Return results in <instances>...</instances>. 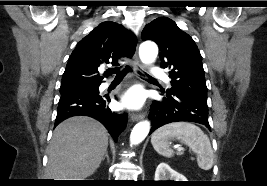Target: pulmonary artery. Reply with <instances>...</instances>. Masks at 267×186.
Instances as JSON below:
<instances>
[{"label":"pulmonary artery","instance_id":"obj_1","mask_svg":"<svg viewBox=\"0 0 267 186\" xmlns=\"http://www.w3.org/2000/svg\"><path fill=\"white\" fill-rule=\"evenodd\" d=\"M152 74H153L154 76H156V77H161V78H166V79H168L167 76L165 75V73L163 72V70L160 69V68H158V67H156V68H154V69L152 70ZM101 86H102V88H106V87L108 86V83L105 82V83H103Z\"/></svg>","mask_w":267,"mask_h":186}]
</instances>
